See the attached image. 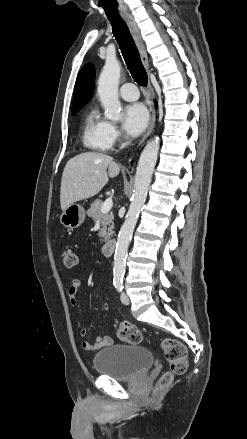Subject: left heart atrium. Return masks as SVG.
Instances as JSON below:
<instances>
[{"mask_svg": "<svg viewBox=\"0 0 247 439\" xmlns=\"http://www.w3.org/2000/svg\"><path fill=\"white\" fill-rule=\"evenodd\" d=\"M149 114L144 105L130 104L125 107L123 115V128L131 136L139 135L147 126Z\"/></svg>", "mask_w": 247, "mask_h": 439, "instance_id": "left-heart-atrium-1", "label": "left heart atrium"}]
</instances>
